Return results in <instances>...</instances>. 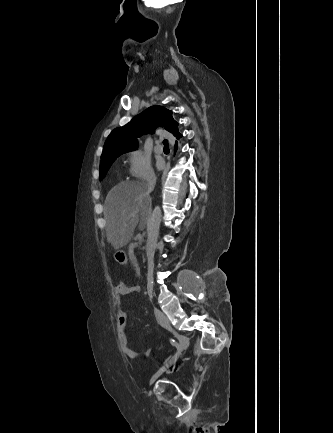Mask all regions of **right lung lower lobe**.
I'll use <instances>...</instances> for the list:
<instances>
[{"label": "right lung lower lobe", "instance_id": "1", "mask_svg": "<svg viewBox=\"0 0 333 433\" xmlns=\"http://www.w3.org/2000/svg\"><path fill=\"white\" fill-rule=\"evenodd\" d=\"M177 150V146H175V151Z\"/></svg>", "mask_w": 333, "mask_h": 433}]
</instances>
